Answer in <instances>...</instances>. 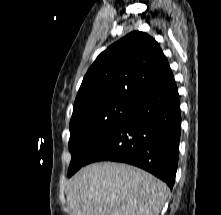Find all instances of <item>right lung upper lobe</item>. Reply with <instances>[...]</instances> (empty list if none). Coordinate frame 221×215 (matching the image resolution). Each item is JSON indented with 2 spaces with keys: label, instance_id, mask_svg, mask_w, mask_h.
Here are the masks:
<instances>
[{
  "label": "right lung upper lobe",
  "instance_id": "cb5924a9",
  "mask_svg": "<svg viewBox=\"0 0 221 215\" xmlns=\"http://www.w3.org/2000/svg\"><path fill=\"white\" fill-rule=\"evenodd\" d=\"M174 80L160 45L133 31L103 51L87 71L74 107L106 100L135 102Z\"/></svg>",
  "mask_w": 221,
  "mask_h": 215
}]
</instances>
